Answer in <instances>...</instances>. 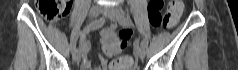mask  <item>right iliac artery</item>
Here are the masks:
<instances>
[{
  "instance_id": "right-iliac-artery-1",
  "label": "right iliac artery",
  "mask_w": 238,
  "mask_h": 70,
  "mask_svg": "<svg viewBox=\"0 0 238 70\" xmlns=\"http://www.w3.org/2000/svg\"><path fill=\"white\" fill-rule=\"evenodd\" d=\"M104 23H105V19L104 18L96 19V20L90 22L83 30H81L79 32L78 36H82L83 34L88 32L89 30L98 29V28L102 27ZM71 51L72 52L76 51V41H74L72 43Z\"/></svg>"
}]
</instances>
